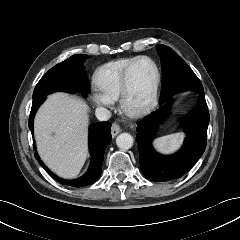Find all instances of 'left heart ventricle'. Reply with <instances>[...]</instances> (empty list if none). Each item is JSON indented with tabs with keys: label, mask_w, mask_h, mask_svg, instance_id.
<instances>
[{
	"label": "left heart ventricle",
	"mask_w": 240,
	"mask_h": 240,
	"mask_svg": "<svg viewBox=\"0 0 240 240\" xmlns=\"http://www.w3.org/2000/svg\"><path fill=\"white\" fill-rule=\"evenodd\" d=\"M156 78L154 65L148 60L137 63L131 75V96L132 105L142 103L153 89Z\"/></svg>",
	"instance_id": "obj_1"
}]
</instances>
